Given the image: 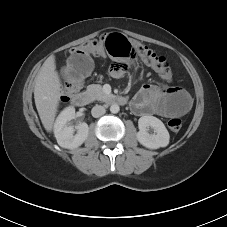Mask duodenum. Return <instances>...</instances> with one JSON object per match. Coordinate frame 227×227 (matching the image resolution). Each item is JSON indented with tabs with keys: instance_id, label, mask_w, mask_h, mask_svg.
Wrapping results in <instances>:
<instances>
[{
	"instance_id": "duodenum-1",
	"label": "duodenum",
	"mask_w": 227,
	"mask_h": 227,
	"mask_svg": "<svg viewBox=\"0 0 227 227\" xmlns=\"http://www.w3.org/2000/svg\"><path fill=\"white\" fill-rule=\"evenodd\" d=\"M90 100L91 95L87 91H83L74 96L72 103L77 107H81L87 105ZM112 101L120 105H124L127 103V99L123 96H115L112 98Z\"/></svg>"
}]
</instances>
